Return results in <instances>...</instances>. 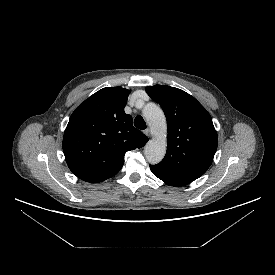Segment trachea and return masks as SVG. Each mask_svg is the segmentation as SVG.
<instances>
[{
    "instance_id": "trachea-1",
    "label": "trachea",
    "mask_w": 275,
    "mask_h": 275,
    "mask_svg": "<svg viewBox=\"0 0 275 275\" xmlns=\"http://www.w3.org/2000/svg\"><path fill=\"white\" fill-rule=\"evenodd\" d=\"M134 126L140 130L146 129V123L142 116H137L134 120Z\"/></svg>"
}]
</instances>
